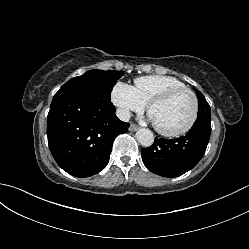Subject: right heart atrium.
Listing matches in <instances>:
<instances>
[{
    "instance_id": "obj_1",
    "label": "right heart atrium",
    "mask_w": 249,
    "mask_h": 249,
    "mask_svg": "<svg viewBox=\"0 0 249 249\" xmlns=\"http://www.w3.org/2000/svg\"><path fill=\"white\" fill-rule=\"evenodd\" d=\"M111 100L122 118H128L131 112L141 111L146 104L139 97L135 88L124 82H117L111 91Z\"/></svg>"
}]
</instances>
